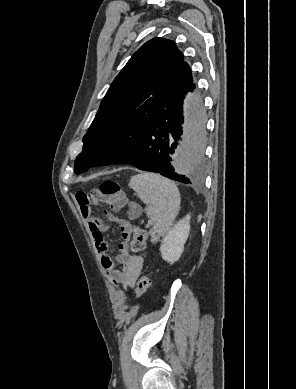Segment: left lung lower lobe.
<instances>
[{"label": "left lung lower lobe", "instance_id": "1", "mask_svg": "<svg viewBox=\"0 0 296 389\" xmlns=\"http://www.w3.org/2000/svg\"><path fill=\"white\" fill-rule=\"evenodd\" d=\"M192 122L187 129L192 159L188 176H199L203 160L202 101L190 70L163 83L146 106L130 113L111 130L96 149L98 166L130 164L140 170L160 173L172 180L190 183L174 173L171 155L182 135L184 102Z\"/></svg>", "mask_w": 296, "mask_h": 389}]
</instances>
